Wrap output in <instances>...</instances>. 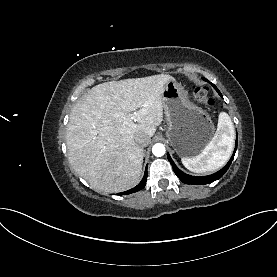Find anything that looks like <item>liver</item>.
<instances>
[{"mask_svg":"<svg viewBox=\"0 0 277 277\" xmlns=\"http://www.w3.org/2000/svg\"><path fill=\"white\" fill-rule=\"evenodd\" d=\"M166 74L105 82L82 95L73 107L66 132L68 158L76 173L98 191L117 193L140 180L143 148L163 120Z\"/></svg>","mask_w":277,"mask_h":277,"instance_id":"obj_1","label":"liver"}]
</instances>
